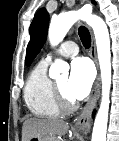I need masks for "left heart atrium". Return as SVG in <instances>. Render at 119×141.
I'll return each mask as SVG.
<instances>
[{"label": "left heart atrium", "instance_id": "left-heart-atrium-1", "mask_svg": "<svg viewBox=\"0 0 119 141\" xmlns=\"http://www.w3.org/2000/svg\"><path fill=\"white\" fill-rule=\"evenodd\" d=\"M94 70L86 58H76L71 62L70 76L66 92L72 100L84 99L92 87Z\"/></svg>", "mask_w": 119, "mask_h": 141}]
</instances>
